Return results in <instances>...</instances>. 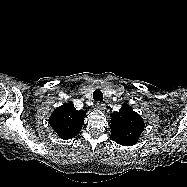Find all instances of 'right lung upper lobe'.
<instances>
[{
  "label": "right lung upper lobe",
  "instance_id": "right-lung-upper-lobe-1",
  "mask_svg": "<svg viewBox=\"0 0 187 187\" xmlns=\"http://www.w3.org/2000/svg\"><path fill=\"white\" fill-rule=\"evenodd\" d=\"M84 111H77L72 103H66L54 110L49 118L50 126L64 140L78 135L82 129Z\"/></svg>",
  "mask_w": 187,
  "mask_h": 187
}]
</instances>
